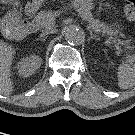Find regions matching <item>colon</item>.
<instances>
[{
	"mask_svg": "<svg viewBox=\"0 0 135 135\" xmlns=\"http://www.w3.org/2000/svg\"><path fill=\"white\" fill-rule=\"evenodd\" d=\"M124 12L128 20L135 22V0H127L124 6Z\"/></svg>",
	"mask_w": 135,
	"mask_h": 135,
	"instance_id": "obj_1",
	"label": "colon"
}]
</instances>
